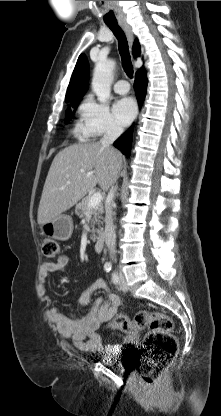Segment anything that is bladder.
<instances>
[{
	"instance_id": "obj_1",
	"label": "bladder",
	"mask_w": 221,
	"mask_h": 416,
	"mask_svg": "<svg viewBox=\"0 0 221 416\" xmlns=\"http://www.w3.org/2000/svg\"><path fill=\"white\" fill-rule=\"evenodd\" d=\"M115 357V354L112 353H105L103 355L104 363L107 365L112 364L113 366L119 367V365L114 364L113 358Z\"/></svg>"
}]
</instances>
